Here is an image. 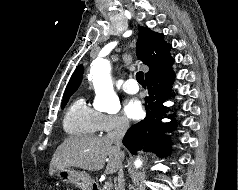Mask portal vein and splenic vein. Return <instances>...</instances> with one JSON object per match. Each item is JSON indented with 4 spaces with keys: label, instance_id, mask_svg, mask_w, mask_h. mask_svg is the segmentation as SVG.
Instances as JSON below:
<instances>
[{
    "label": "portal vein and splenic vein",
    "instance_id": "18ae733b",
    "mask_svg": "<svg viewBox=\"0 0 238 190\" xmlns=\"http://www.w3.org/2000/svg\"><path fill=\"white\" fill-rule=\"evenodd\" d=\"M105 186H106V187H111L112 184H111V182H106V183H105Z\"/></svg>",
    "mask_w": 238,
    "mask_h": 190
}]
</instances>
